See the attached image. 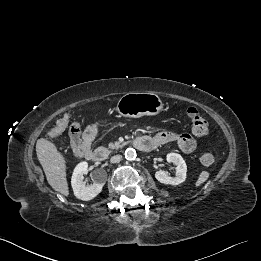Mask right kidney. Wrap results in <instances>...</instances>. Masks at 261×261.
<instances>
[{
	"instance_id": "1",
	"label": "right kidney",
	"mask_w": 261,
	"mask_h": 261,
	"mask_svg": "<svg viewBox=\"0 0 261 261\" xmlns=\"http://www.w3.org/2000/svg\"><path fill=\"white\" fill-rule=\"evenodd\" d=\"M88 173V163H79L72 174L71 185L74 191V195L81 200L89 201L95 198L101 191L105 184L106 175L103 171H99L94 176L93 185L86 186L83 181L84 174Z\"/></svg>"
}]
</instances>
